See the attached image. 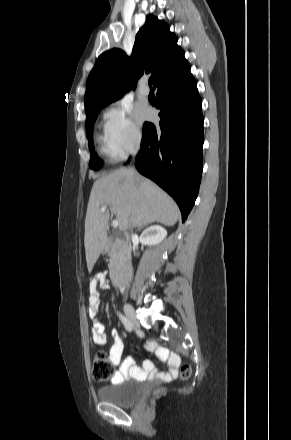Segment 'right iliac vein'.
<instances>
[{
	"label": "right iliac vein",
	"instance_id": "obj_1",
	"mask_svg": "<svg viewBox=\"0 0 291 440\" xmlns=\"http://www.w3.org/2000/svg\"><path fill=\"white\" fill-rule=\"evenodd\" d=\"M124 312L126 316L129 318V320L135 325H138V321L136 319V313L134 311V308L130 304L124 305Z\"/></svg>",
	"mask_w": 291,
	"mask_h": 440
}]
</instances>
